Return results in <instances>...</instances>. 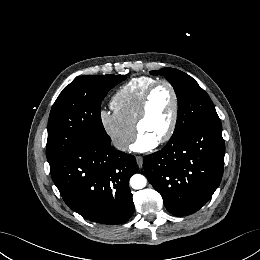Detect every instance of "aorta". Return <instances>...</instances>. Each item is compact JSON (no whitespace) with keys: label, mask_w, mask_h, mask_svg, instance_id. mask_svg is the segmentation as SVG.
<instances>
[{"label":"aorta","mask_w":260,"mask_h":260,"mask_svg":"<svg viewBox=\"0 0 260 260\" xmlns=\"http://www.w3.org/2000/svg\"><path fill=\"white\" fill-rule=\"evenodd\" d=\"M146 183L147 179L141 174H134L130 179V185L133 189H142Z\"/></svg>","instance_id":"aorta-1"}]
</instances>
